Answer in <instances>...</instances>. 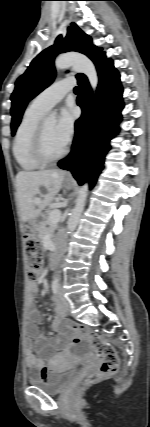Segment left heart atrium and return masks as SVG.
I'll list each match as a JSON object with an SVG mask.
<instances>
[{
    "label": "left heart atrium",
    "instance_id": "39dd6f15",
    "mask_svg": "<svg viewBox=\"0 0 150 427\" xmlns=\"http://www.w3.org/2000/svg\"><path fill=\"white\" fill-rule=\"evenodd\" d=\"M75 119L73 113L65 109L61 112L57 125L55 126V134L57 140L62 146H66L72 139L74 134Z\"/></svg>",
    "mask_w": 150,
    "mask_h": 427
}]
</instances>
